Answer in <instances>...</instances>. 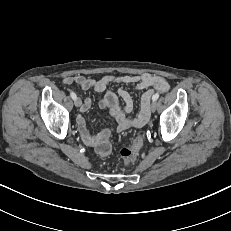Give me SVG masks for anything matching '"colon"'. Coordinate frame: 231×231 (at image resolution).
Segmentation results:
<instances>
[{"mask_svg":"<svg viewBox=\"0 0 231 231\" xmlns=\"http://www.w3.org/2000/svg\"><path fill=\"white\" fill-rule=\"evenodd\" d=\"M142 145L143 137L138 135L130 146L121 149L120 155L125 165L131 164L136 159ZM96 150L101 156H108L111 153L112 145L109 139V132H104L96 146Z\"/></svg>","mask_w":231,"mask_h":231,"instance_id":"1","label":"colon"}]
</instances>
